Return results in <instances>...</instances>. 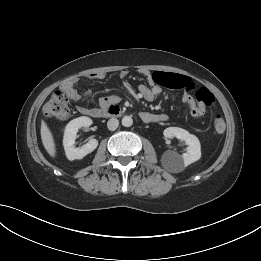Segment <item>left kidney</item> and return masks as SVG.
I'll return each mask as SVG.
<instances>
[{
	"label": "left kidney",
	"instance_id": "left-kidney-1",
	"mask_svg": "<svg viewBox=\"0 0 261 261\" xmlns=\"http://www.w3.org/2000/svg\"><path fill=\"white\" fill-rule=\"evenodd\" d=\"M163 135L166 138H177L185 141L187 151L182 156L173 152L166 151L162 155L163 165L173 171H180L183 167H186L201 157V146L198 138L195 135L190 134L188 131L179 127H168L164 130Z\"/></svg>",
	"mask_w": 261,
	"mask_h": 261
}]
</instances>
